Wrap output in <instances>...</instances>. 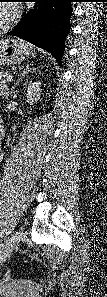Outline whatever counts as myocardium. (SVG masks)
Returning <instances> with one entry per match:
<instances>
[{"label":"myocardium","instance_id":"1","mask_svg":"<svg viewBox=\"0 0 107 297\" xmlns=\"http://www.w3.org/2000/svg\"><path fill=\"white\" fill-rule=\"evenodd\" d=\"M9 10V17L8 19L0 26V34H3L8 31V29L13 25L15 22L18 12L15 6H5Z\"/></svg>","mask_w":107,"mask_h":297}]
</instances>
